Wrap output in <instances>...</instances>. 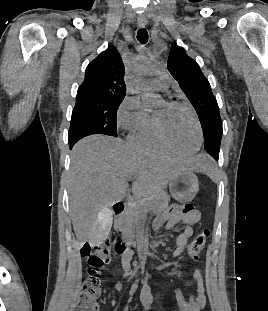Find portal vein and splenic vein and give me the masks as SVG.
<instances>
[{
    "mask_svg": "<svg viewBox=\"0 0 268 311\" xmlns=\"http://www.w3.org/2000/svg\"><path fill=\"white\" fill-rule=\"evenodd\" d=\"M129 180H134L133 178H130Z\"/></svg>",
    "mask_w": 268,
    "mask_h": 311,
    "instance_id": "1",
    "label": "portal vein and splenic vein"
}]
</instances>
